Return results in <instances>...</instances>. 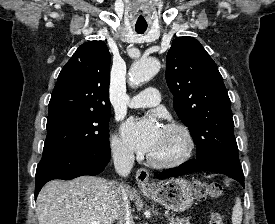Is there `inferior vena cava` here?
Returning a JSON list of instances; mask_svg holds the SVG:
<instances>
[{"mask_svg": "<svg viewBox=\"0 0 275 224\" xmlns=\"http://www.w3.org/2000/svg\"><path fill=\"white\" fill-rule=\"evenodd\" d=\"M114 167L116 172L127 177L134 164V154L124 147H116L112 150ZM129 186L120 184L116 188L115 206L118 210V223L131 224L132 215L128 201L127 191Z\"/></svg>", "mask_w": 275, "mask_h": 224, "instance_id": "1", "label": "inferior vena cava"}]
</instances>
